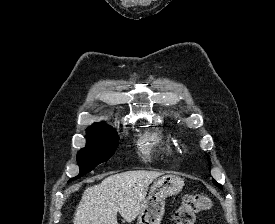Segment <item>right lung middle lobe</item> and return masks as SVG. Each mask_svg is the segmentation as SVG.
Listing matches in <instances>:
<instances>
[{"instance_id": "1", "label": "right lung middle lobe", "mask_w": 275, "mask_h": 224, "mask_svg": "<svg viewBox=\"0 0 275 224\" xmlns=\"http://www.w3.org/2000/svg\"><path fill=\"white\" fill-rule=\"evenodd\" d=\"M119 137L112 128L87 129V143L77 154L80 173L75 180L107 161L114 153ZM69 180V181H70Z\"/></svg>"}]
</instances>
